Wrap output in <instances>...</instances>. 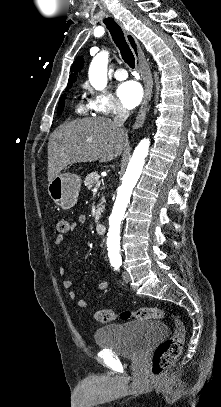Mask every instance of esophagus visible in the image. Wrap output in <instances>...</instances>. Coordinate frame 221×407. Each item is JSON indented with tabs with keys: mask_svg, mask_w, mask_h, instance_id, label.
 Wrapping results in <instances>:
<instances>
[{
	"mask_svg": "<svg viewBox=\"0 0 221 407\" xmlns=\"http://www.w3.org/2000/svg\"><path fill=\"white\" fill-rule=\"evenodd\" d=\"M119 25L122 28V30L124 31L126 40L136 58L137 69L140 71V73L144 79V82H145V91H144L143 101H142L141 107L138 111V114L136 116V119H135V122L133 125L134 129H138V128L142 127V125L144 124L146 112L148 109V104H149V101L151 100V96H152L153 80L151 77L150 70H149L147 64L144 62L143 53H142V50L140 48V45H139L137 39L131 32L126 30V28L124 27V25L121 22H119Z\"/></svg>",
	"mask_w": 221,
	"mask_h": 407,
	"instance_id": "obj_1",
	"label": "esophagus"
}]
</instances>
